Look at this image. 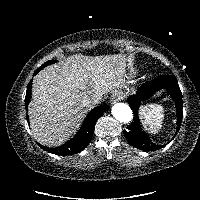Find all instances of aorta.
I'll return each instance as SVG.
<instances>
[{"instance_id": "1", "label": "aorta", "mask_w": 200, "mask_h": 200, "mask_svg": "<svg viewBox=\"0 0 200 200\" xmlns=\"http://www.w3.org/2000/svg\"><path fill=\"white\" fill-rule=\"evenodd\" d=\"M115 119L122 123H129L133 119V113L130 106L126 103H115L111 110Z\"/></svg>"}]
</instances>
